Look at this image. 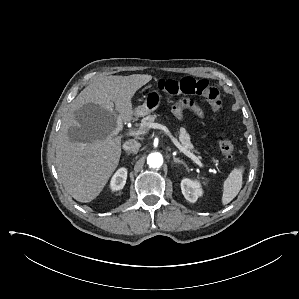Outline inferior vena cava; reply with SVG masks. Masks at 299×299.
<instances>
[{
	"label": "inferior vena cava",
	"instance_id": "1",
	"mask_svg": "<svg viewBox=\"0 0 299 299\" xmlns=\"http://www.w3.org/2000/svg\"><path fill=\"white\" fill-rule=\"evenodd\" d=\"M141 144L134 140L130 139L123 144V149L126 150L129 153H137L139 151Z\"/></svg>",
	"mask_w": 299,
	"mask_h": 299
}]
</instances>
